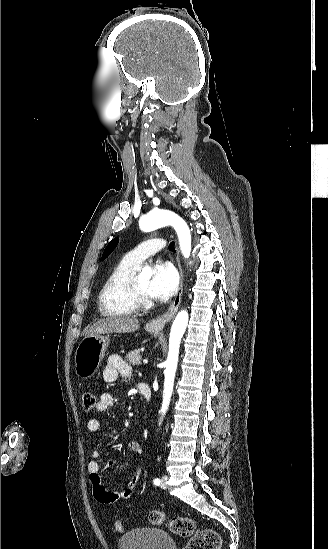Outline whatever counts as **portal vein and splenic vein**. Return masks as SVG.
Listing matches in <instances>:
<instances>
[{"label":"portal vein and splenic vein","instance_id":"obj_1","mask_svg":"<svg viewBox=\"0 0 328 549\" xmlns=\"http://www.w3.org/2000/svg\"><path fill=\"white\" fill-rule=\"evenodd\" d=\"M147 358H143L142 364H146Z\"/></svg>","mask_w":328,"mask_h":549}]
</instances>
